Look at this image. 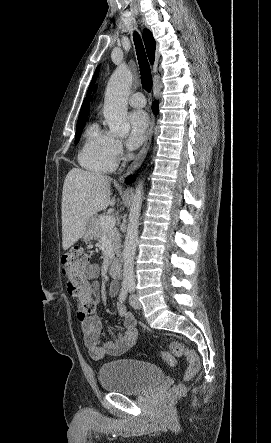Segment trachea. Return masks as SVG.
Wrapping results in <instances>:
<instances>
[{"label":"trachea","instance_id":"obj_1","mask_svg":"<svg viewBox=\"0 0 271 443\" xmlns=\"http://www.w3.org/2000/svg\"><path fill=\"white\" fill-rule=\"evenodd\" d=\"M123 4L128 5L130 4L131 0H122ZM134 42L137 52V58L139 63V68L141 72V83L143 88L150 92L152 88V75H151V69L149 66V62L146 57L145 49L143 46V43L141 41V38L137 33L134 35Z\"/></svg>","mask_w":271,"mask_h":443}]
</instances>
